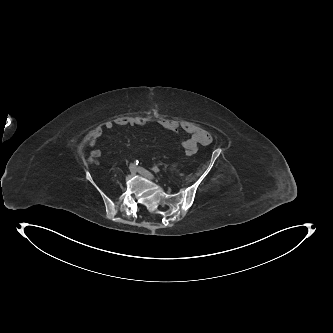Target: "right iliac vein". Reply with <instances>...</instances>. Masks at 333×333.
Returning <instances> with one entry per match:
<instances>
[{
  "label": "right iliac vein",
  "instance_id": "obj_1",
  "mask_svg": "<svg viewBox=\"0 0 333 333\" xmlns=\"http://www.w3.org/2000/svg\"><path fill=\"white\" fill-rule=\"evenodd\" d=\"M130 173H131L132 175H135V174H136V167H135L134 164H131V165H130Z\"/></svg>",
  "mask_w": 333,
  "mask_h": 333
}]
</instances>
